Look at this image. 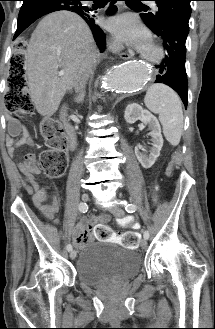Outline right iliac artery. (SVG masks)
<instances>
[{
  "label": "right iliac artery",
  "instance_id": "82829eb1",
  "mask_svg": "<svg viewBox=\"0 0 215 329\" xmlns=\"http://www.w3.org/2000/svg\"><path fill=\"white\" fill-rule=\"evenodd\" d=\"M87 210H88V205L86 203H80V205H79V211L81 213H85V212H87ZM67 250L68 251H71L72 250V245L71 244H68L67 245Z\"/></svg>",
  "mask_w": 215,
  "mask_h": 329
}]
</instances>
